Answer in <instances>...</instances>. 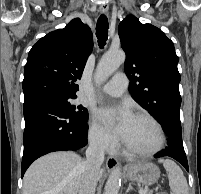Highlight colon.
<instances>
[{
	"label": "colon",
	"mask_w": 201,
	"mask_h": 194,
	"mask_svg": "<svg viewBox=\"0 0 201 194\" xmlns=\"http://www.w3.org/2000/svg\"><path fill=\"white\" fill-rule=\"evenodd\" d=\"M157 194H168V193H166V192H158Z\"/></svg>",
	"instance_id": "obj_1"
}]
</instances>
